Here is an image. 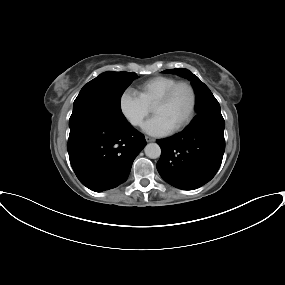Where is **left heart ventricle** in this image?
<instances>
[{"label":"left heart ventricle","instance_id":"b2bd125f","mask_svg":"<svg viewBox=\"0 0 285 285\" xmlns=\"http://www.w3.org/2000/svg\"><path fill=\"white\" fill-rule=\"evenodd\" d=\"M191 107V93L186 87H180L166 105L153 110L155 116L162 117L173 129L188 115Z\"/></svg>","mask_w":285,"mask_h":285}]
</instances>
